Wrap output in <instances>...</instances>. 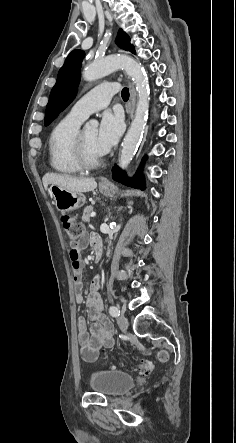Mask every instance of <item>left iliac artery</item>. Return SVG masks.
Wrapping results in <instances>:
<instances>
[{
    "instance_id": "1",
    "label": "left iliac artery",
    "mask_w": 236,
    "mask_h": 443,
    "mask_svg": "<svg viewBox=\"0 0 236 443\" xmlns=\"http://www.w3.org/2000/svg\"><path fill=\"white\" fill-rule=\"evenodd\" d=\"M109 313L113 317H117L120 315V310L116 306H110Z\"/></svg>"
}]
</instances>
